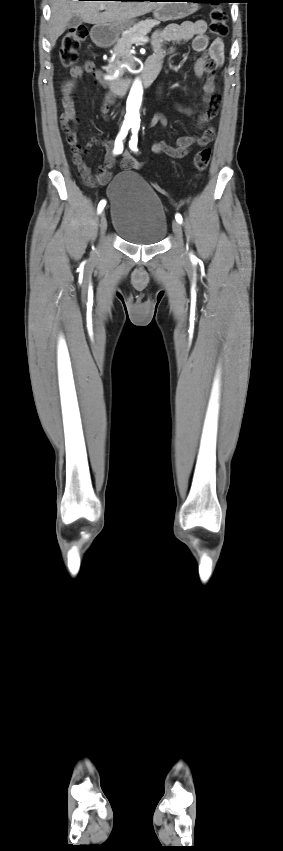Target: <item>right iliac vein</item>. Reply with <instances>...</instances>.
Listing matches in <instances>:
<instances>
[{
    "label": "right iliac vein",
    "instance_id": "1",
    "mask_svg": "<svg viewBox=\"0 0 283 851\" xmlns=\"http://www.w3.org/2000/svg\"><path fill=\"white\" fill-rule=\"evenodd\" d=\"M106 230H107V219H106L105 212H102L101 216H100V231H101L102 234H104L106 232Z\"/></svg>",
    "mask_w": 283,
    "mask_h": 851
}]
</instances>
